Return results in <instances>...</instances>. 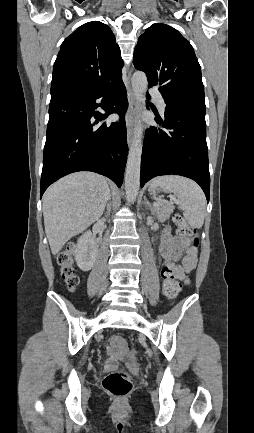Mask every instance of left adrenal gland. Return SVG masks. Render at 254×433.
Segmentation results:
<instances>
[{"mask_svg": "<svg viewBox=\"0 0 254 433\" xmlns=\"http://www.w3.org/2000/svg\"><path fill=\"white\" fill-rule=\"evenodd\" d=\"M143 204L146 205L150 209L151 213L153 214V206L147 200L146 196H144V202H143Z\"/></svg>", "mask_w": 254, "mask_h": 433, "instance_id": "1", "label": "left adrenal gland"}]
</instances>
